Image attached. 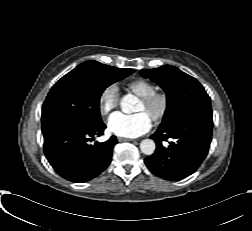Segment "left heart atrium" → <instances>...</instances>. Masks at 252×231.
Masks as SVG:
<instances>
[{"mask_svg": "<svg viewBox=\"0 0 252 231\" xmlns=\"http://www.w3.org/2000/svg\"><path fill=\"white\" fill-rule=\"evenodd\" d=\"M152 127L151 118L145 112L132 115L116 113L108 122L109 130L124 138H135L147 133Z\"/></svg>", "mask_w": 252, "mask_h": 231, "instance_id": "39dd6f15", "label": "left heart atrium"}]
</instances>
